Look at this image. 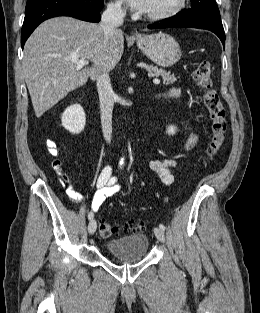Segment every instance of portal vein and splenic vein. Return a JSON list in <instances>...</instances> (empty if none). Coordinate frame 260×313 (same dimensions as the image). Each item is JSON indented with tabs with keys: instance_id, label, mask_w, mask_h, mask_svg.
<instances>
[{
	"instance_id": "obj_1",
	"label": "portal vein and splenic vein",
	"mask_w": 260,
	"mask_h": 313,
	"mask_svg": "<svg viewBox=\"0 0 260 313\" xmlns=\"http://www.w3.org/2000/svg\"><path fill=\"white\" fill-rule=\"evenodd\" d=\"M71 61H73L74 63H76L78 68H82V67H84L85 65H88V64H89L88 61L81 60V59H79L77 56H72V57H71ZM149 75H150V74H149ZM153 83H154V84H159V83H160V80L157 79V78H155V79L153 80Z\"/></svg>"
}]
</instances>
